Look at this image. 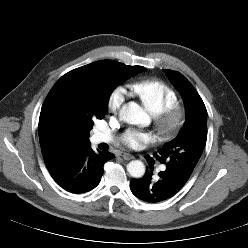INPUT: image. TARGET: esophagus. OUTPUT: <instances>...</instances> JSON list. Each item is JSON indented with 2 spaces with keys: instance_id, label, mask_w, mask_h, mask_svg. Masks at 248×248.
<instances>
[{
  "instance_id": "obj_1",
  "label": "esophagus",
  "mask_w": 248,
  "mask_h": 248,
  "mask_svg": "<svg viewBox=\"0 0 248 248\" xmlns=\"http://www.w3.org/2000/svg\"><path fill=\"white\" fill-rule=\"evenodd\" d=\"M117 156L123 158L124 160H131L134 158L131 154L125 152H120Z\"/></svg>"
}]
</instances>
